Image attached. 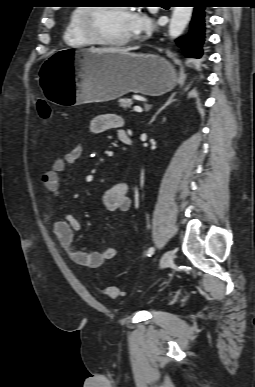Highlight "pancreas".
Here are the masks:
<instances>
[{
  "label": "pancreas",
  "instance_id": "obj_1",
  "mask_svg": "<svg viewBox=\"0 0 255 387\" xmlns=\"http://www.w3.org/2000/svg\"><path fill=\"white\" fill-rule=\"evenodd\" d=\"M118 102H119L120 106H122L123 108H128L133 104V101L131 99H128V98H121L118 100Z\"/></svg>",
  "mask_w": 255,
  "mask_h": 387
}]
</instances>
